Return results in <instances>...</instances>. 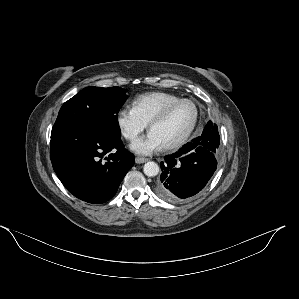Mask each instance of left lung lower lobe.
Returning <instances> with one entry per match:
<instances>
[{
  "mask_svg": "<svg viewBox=\"0 0 299 299\" xmlns=\"http://www.w3.org/2000/svg\"><path fill=\"white\" fill-rule=\"evenodd\" d=\"M208 136L184 145L161 162V176L156 185L157 194L171 202L183 201L199 193L217 168V154Z\"/></svg>",
  "mask_w": 299,
  "mask_h": 299,
  "instance_id": "0a47b994",
  "label": "left lung lower lobe"
}]
</instances>
